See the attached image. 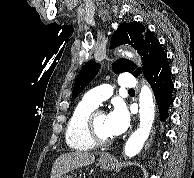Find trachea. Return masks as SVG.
I'll return each instance as SVG.
<instances>
[{
	"instance_id": "1",
	"label": "trachea",
	"mask_w": 194,
	"mask_h": 178,
	"mask_svg": "<svg viewBox=\"0 0 194 178\" xmlns=\"http://www.w3.org/2000/svg\"><path fill=\"white\" fill-rule=\"evenodd\" d=\"M129 92H134V90L133 89H129Z\"/></svg>"
}]
</instances>
